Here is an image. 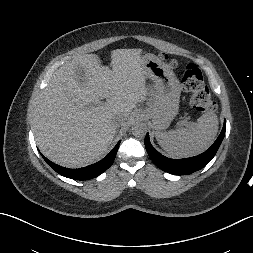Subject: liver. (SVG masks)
<instances>
[{"label":"liver","mask_w":253,"mask_h":253,"mask_svg":"<svg viewBox=\"0 0 253 253\" xmlns=\"http://www.w3.org/2000/svg\"><path fill=\"white\" fill-rule=\"evenodd\" d=\"M141 49L111 52L112 70L97 55L66 62L51 76L33 110V131L41 152L56 164L84 167L98 161L112 144L116 115L129 118L149 88ZM84 70L85 83L76 71ZM107 99L105 103L100 100Z\"/></svg>","instance_id":"liver-1"}]
</instances>
